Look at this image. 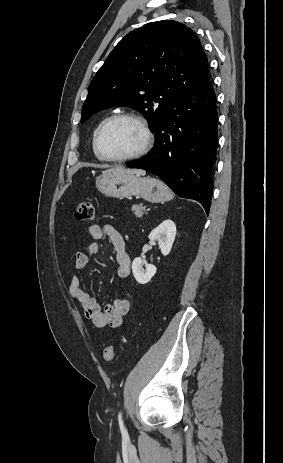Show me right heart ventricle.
I'll return each mask as SVG.
<instances>
[{"label": "right heart ventricle", "instance_id": "e07e8e85", "mask_svg": "<svg viewBox=\"0 0 283 463\" xmlns=\"http://www.w3.org/2000/svg\"><path fill=\"white\" fill-rule=\"evenodd\" d=\"M102 122H103V121H102ZM102 122H100V123L96 126V128H95V130H94V132H93V136H92V150H93V154H94L95 157L98 158V159H99V157H98V155L96 154L95 149H94V135H95V132H96L97 128L99 127V125H100Z\"/></svg>", "mask_w": 283, "mask_h": 463}]
</instances>
